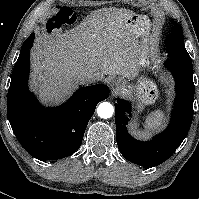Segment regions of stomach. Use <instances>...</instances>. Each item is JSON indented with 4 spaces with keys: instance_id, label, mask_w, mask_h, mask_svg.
Listing matches in <instances>:
<instances>
[{
    "instance_id": "stomach-1",
    "label": "stomach",
    "mask_w": 199,
    "mask_h": 199,
    "mask_svg": "<svg viewBox=\"0 0 199 199\" xmlns=\"http://www.w3.org/2000/svg\"><path fill=\"white\" fill-rule=\"evenodd\" d=\"M127 25L131 30H140L148 32L150 28V21L144 15L134 14L127 19ZM150 49L146 45V39L142 41V45L138 53V66L143 69L149 65ZM127 94L133 95L135 107L138 112H141L146 106L152 105L156 102L159 96L157 85L144 76L138 78L135 85H128L126 89Z\"/></svg>"
}]
</instances>
